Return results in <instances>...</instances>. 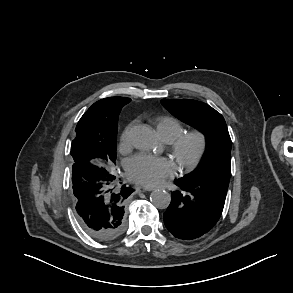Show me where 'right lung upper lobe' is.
Here are the masks:
<instances>
[{
	"label": "right lung upper lobe",
	"instance_id": "obj_1",
	"mask_svg": "<svg viewBox=\"0 0 293 293\" xmlns=\"http://www.w3.org/2000/svg\"><path fill=\"white\" fill-rule=\"evenodd\" d=\"M131 101L126 97H109L94 103L81 117L77 130L104 139L111 136L116 129L119 111ZM75 163L95 165V157L90 154L78 153L73 157ZM74 163V164H75Z\"/></svg>",
	"mask_w": 293,
	"mask_h": 293
}]
</instances>
